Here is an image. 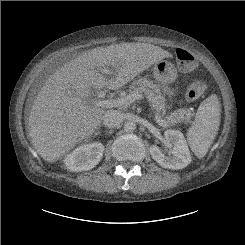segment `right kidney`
I'll return each instance as SVG.
<instances>
[{
	"label": "right kidney",
	"mask_w": 245,
	"mask_h": 245,
	"mask_svg": "<svg viewBox=\"0 0 245 245\" xmlns=\"http://www.w3.org/2000/svg\"><path fill=\"white\" fill-rule=\"evenodd\" d=\"M103 144L99 142L84 144L66 155L64 164L70 171L81 172L94 168L102 159Z\"/></svg>",
	"instance_id": "obj_1"
}]
</instances>
